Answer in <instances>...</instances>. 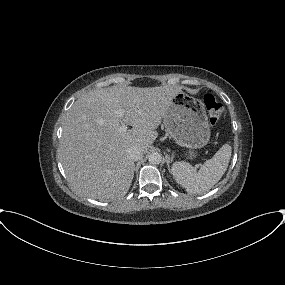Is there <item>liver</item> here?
Returning a JSON list of instances; mask_svg holds the SVG:
<instances>
[{
	"instance_id": "1",
	"label": "liver",
	"mask_w": 285,
	"mask_h": 285,
	"mask_svg": "<svg viewBox=\"0 0 285 285\" xmlns=\"http://www.w3.org/2000/svg\"><path fill=\"white\" fill-rule=\"evenodd\" d=\"M180 87L120 86L94 89L78 98L63 121L59 159L67 179L85 196L114 200L129 190L134 161L127 150L145 153ZM124 110V117L115 112ZM123 124L132 126L121 132Z\"/></svg>"
}]
</instances>
